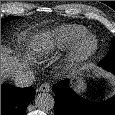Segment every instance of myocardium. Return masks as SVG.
Listing matches in <instances>:
<instances>
[{"label": "myocardium", "instance_id": "f54148a6", "mask_svg": "<svg viewBox=\"0 0 115 115\" xmlns=\"http://www.w3.org/2000/svg\"><path fill=\"white\" fill-rule=\"evenodd\" d=\"M97 49V38L94 35H85L74 45L72 57L75 61H83L95 54Z\"/></svg>", "mask_w": 115, "mask_h": 115}]
</instances>
